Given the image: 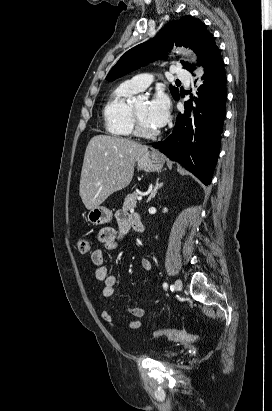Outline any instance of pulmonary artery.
I'll return each instance as SVG.
<instances>
[{"label": "pulmonary artery", "instance_id": "1", "mask_svg": "<svg viewBox=\"0 0 272 411\" xmlns=\"http://www.w3.org/2000/svg\"><path fill=\"white\" fill-rule=\"evenodd\" d=\"M176 77L182 81L188 82L190 80V73L188 70L177 67L175 71ZM128 83L137 91L146 89L152 83V76L149 74H140L132 77Z\"/></svg>", "mask_w": 272, "mask_h": 411}]
</instances>
